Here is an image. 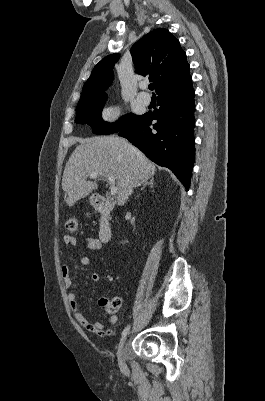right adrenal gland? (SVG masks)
I'll list each match as a JSON object with an SVG mask.
<instances>
[{"mask_svg": "<svg viewBox=\"0 0 265 401\" xmlns=\"http://www.w3.org/2000/svg\"><path fill=\"white\" fill-rule=\"evenodd\" d=\"M147 184H150V188H153L154 186V176H151L150 180H148V182H144V184H142V188H140V190H144L145 186H147Z\"/></svg>", "mask_w": 265, "mask_h": 401, "instance_id": "right-adrenal-gland-1", "label": "right adrenal gland"}]
</instances>
